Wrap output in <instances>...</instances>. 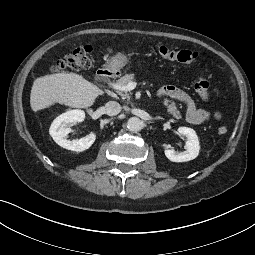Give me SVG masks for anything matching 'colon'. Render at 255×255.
Masks as SVG:
<instances>
[{"mask_svg": "<svg viewBox=\"0 0 255 255\" xmlns=\"http://www.w3.org/2000/svg\"><path fill=\"white\" fill-rule=\"evenodd\" d=\"M156 50L158 54L165 60L175 61L179 63L186 64H199V63H209L211 61L210 55L207 53L194 52L191 50H176L169 48L166 45L156 44ZM110 53V51H108ZM97 56V52L94 47L90 45H84L63 59L59 60L57 65L55 66L56 70H80L89 68L95 58ZM194 88L198 95L204 100L208 102L210 100L209 94V82L205 78V76H198ZM228 132V128L224 125L218 128V133L224 135Z\"/></svg>", "mask_w": 255, "mask_h": 255, "instance_id": "obj_1", "label": "colon"}]
</instances>
